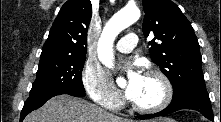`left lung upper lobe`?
<instances>
[{"mask_svg": "<svg viewBox=\"0 0 221 122\" xmlns=\"http://www.w3.org/2000/svg\"><path fill=\"white\" fill-rule=\"evenodd\" d=\"M143 33L149 42L151 59L172 83L176 98L189 90H205L202 58L194 30L179 7L170 0H142Z\"/></svg>", "mask_w": 221, "mask_h": 122, "instance_id": "1", "label": "left lung upper lobe"}]
</instances>
